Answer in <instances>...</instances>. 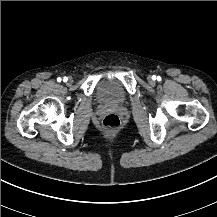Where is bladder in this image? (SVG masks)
Wrapping results in <instances>:
<instances>
[{"mask_svg": "<svg viewBox=\"0 0 217 217\" xmlns=\"http://www.w3.org/2000/svg\"><path fill=\"white\" fill-rule=\"evenodd\" d=\"M99 99L106 104H117L124 99V88L116 81L105 80L98 89Z\"/></svg>", "mask_w": 217, "mask_h": 217, "instance_id": "obj_1", "label": "bladder"}]
</instances>
